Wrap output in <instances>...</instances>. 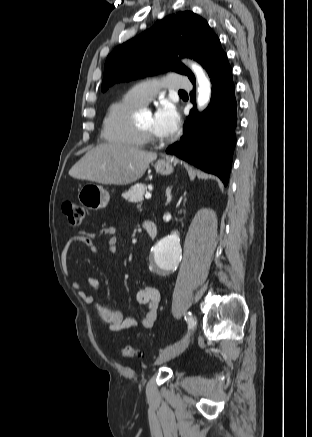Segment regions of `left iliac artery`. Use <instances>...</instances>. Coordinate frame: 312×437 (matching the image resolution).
<instances>
[{"label": "left iliac artery", "instance_id": "1", "mask_svg": "<svg viewBox=\"0 0 312 437\" xmlns=\"http://www.w3.org/2000/svg\"><path fill=\"white\" fill-rule=\"evenodd\" d=\"M185 319L188 321L189 328L192 329L195 326V320L193 319L191 313L185 315Z\"/></svg>", "mask_w": 312, "mask_h": 437}]
</instances>
